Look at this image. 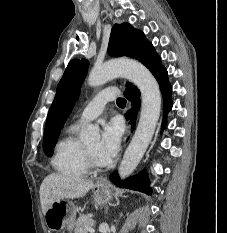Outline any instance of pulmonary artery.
<instances>
[{"label":"pulmonary artery","mask_w":227,"mask_h":233,"mask_svg":"<svg viewBox=\"0 0 227 233\" xmlns=\"http://www.w3.org/2000/svg\"><path fill=\"white\" fill-rule=\"evenodd\" d=\"M116 95L117 91L114 88H107L100 91L83 109L74 126L80 127L98 118L102 114L106 103L114 100Z\"/></svg>","instance_id":"pulmonary-artery-1"}]
</instances>
